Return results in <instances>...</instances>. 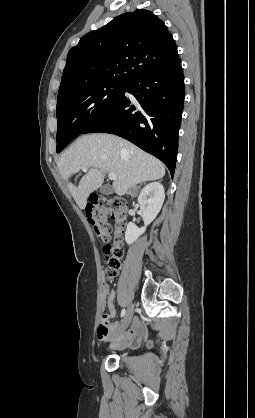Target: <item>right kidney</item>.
<instances>
[{
  "label": "right kidney",
  "instance_id": "obj_1",
  "mask_svg": "<svg viewBox=\"0 0 255 418\" xmlns=\"http://www.w3.org/2000/svg\"><path fill=\"white\" fill-rule=\"evenodd\" d=\"M164 199V188L159 182L149 183L142 189L138 197V203L144 226L138 228L134 223H128L125 232V241L128 245L134 243L145 232L146 227L156 218L161 210Z\"/></svg>",
  "mask_w": 255,
  "mask_h": 418
}]
</instances>
